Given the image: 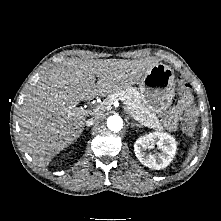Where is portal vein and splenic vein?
<instances>
[{
    "label": "portal vein and splenic vein",
    "mask_w": 221,
    "mask_h": 221,
    "mask_svg": "<svg viewBox=\"0 0 221 221\" xmlns=\"http://www.w3.org/2000/svg\"><path fill=\"white\" fill-rule=\"evenodd\" d=\"M105 108H102L101 106H97L93 111L95 112V113H97V112H100L101 110H104ZM81 110L82 111H85V112H87V113H89V111H87V110H85V109H83V108H81Z\"/></svg>",
    "instance_id": "18ae733b"
}]
</instances>
